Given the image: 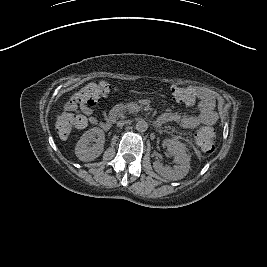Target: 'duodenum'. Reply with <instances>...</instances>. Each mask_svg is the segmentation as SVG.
I'll return each instance as SVG.
<instances>
[{"label": "duodenum", "mask_w": 267, "mask_h": 267, "mask_svg": "<svg viewBox=\"0 0 267 267\" xmlns=\"http://www.w3.org/2000/svg\"><path fill=\"white\" fill-rule=\"evenodd\" d=\"M122 115H124V110L122 108H120V107L114 108L110 113L108 123L112 124L116 118L121 117Z\"/></svg>", "instance_id": "duodenum-1"}]
</instances>
